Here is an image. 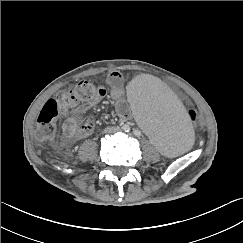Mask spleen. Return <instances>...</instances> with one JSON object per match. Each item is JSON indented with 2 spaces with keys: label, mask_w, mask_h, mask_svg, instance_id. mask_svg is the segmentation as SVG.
I'll return each instance as SVG.
<instances>
[{
  "label": "spleen",
  "mask_w": 243,
  "mask_h": 243,
  "mask_svg": "<svg viewBox=\"0 0 243 243\" xmlns=\"http://www.w3.org/2000/svg\"><path fill=\"white\" fill-rule=\"evenodd\" d=\"M125 100L135 123L161 154L178 157L194 141V131L183 102L158 76L144 74L127 86Z\"/></svg>",
  "instance_id": "spleen-1"
}]
</instances>
